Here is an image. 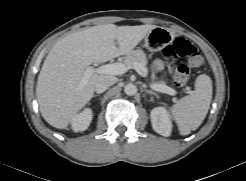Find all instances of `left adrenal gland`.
<instances>
[{"instance_id":"obj_1","label":"left adrenal gland","mask_w":246,"mask_h":181,"mask_svg":"<svg viewBox=\"0 0 246 181\" xmlns=\"http://www.w3.org/2000/svg\"><path fill=\"white\" fill-rule=\"evenodd\" d=\"M146 93L150 94V95H154L155 97H157V94L155 92H153L152 90H148V89H144Z\"/></svg>"}]
</instances>
